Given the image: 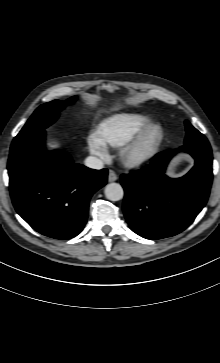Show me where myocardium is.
Returning a JSON list of instances; mask_svg holds the SVG:
<instances>
[{"instance_id": "1", "label": "myocardium", "mask_w": 220, "mask_h": 363, "mask_svg": "<svg viewBox=\"0 0 220 363\" xmlns=\"http://www.w3.org/2000/svg\"><path fill=\"white\" fill-rule=\"evenodd\" d=\"M164 129L160 124H151L142 129L120 149V159L130 168H140L151 163L163 142Z\"/></svg>"}]
</instances>
